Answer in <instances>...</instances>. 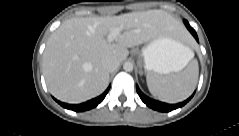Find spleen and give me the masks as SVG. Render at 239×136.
<instances>
[{
	"label": "spleen",
	"mask_w": 239,
	"mask_h": 136,
	"mask_svg": "<svg viewBox=\"0 0 239 136\" xmlns=\"http://www.w3.org/2000/svg\"><path fill=\"white\" fill-rule=\"evenodd\" d=\"M193 57L194 53L189 51L188 62ZM198 74V62L193 60L182 72L177 74L161 76L148 73L146 77L147 86L151 94L157 96L161 101L177 103L191 95L197 84Z\"/></svg>",
	"instance_id": "3e777b00"
}]
</instances>
